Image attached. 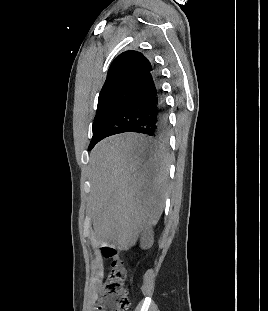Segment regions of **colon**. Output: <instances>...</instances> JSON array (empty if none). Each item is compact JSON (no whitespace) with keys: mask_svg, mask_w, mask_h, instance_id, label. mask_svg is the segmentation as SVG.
<instances>
[{"mask_svg":"<svg viewBox=\"0 0 268 311\" xmlns=\"http://www.w3.org/2000/svg\"><path fill=\"white\" fill-rule=\"evenodd\" d=\"M104 257L111 260L110 272L100 295L96 311H127L129 308L127 274L114 248L104 247Z\"/></svg>","mask_w":268,"mask_h":311,"instance_id":"1","label":"colon"}]
</instances>
